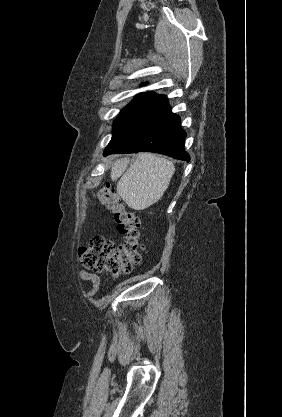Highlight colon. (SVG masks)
Masks as SVG:
<instances>
[{"label":"colon","instance_id":"5ec220e1","mask_svg":"<svg viewBox=\"0 0 282 417\" xmlns=\"http://www.w3.org/2000/svg\"><path fill=\"white\" fill-rule=\"evenodd\" d=\"M95 196L100 205L114 214L117 231L123 236L120 247L101 235L92 236L86 246L81 247L78 259L81 265L97 273L112 277L131 272L140 262L143 253V230L135 213L129 210L114 188L98 187Z\"/></svg>","mask_w":282,"mask_h":417}]
</instances>
